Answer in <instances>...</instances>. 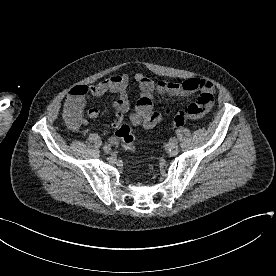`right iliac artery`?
<instances>
[{"label": "right iliac artery", "instance_id": "obj_1", "mask_svg": "<svg viewBox=\"0 0 276 276\" xmlns=\"http://www.w3.org/2000/svg\"><path fill=\"white\" fill-rule=\"evenodd\" d=\"M108 142L112 145H115V144H117V139L114 138V137H111V138L108 139Z\"/></svg>", "mask_w": 276, "mask_h": 276}]
</instances>
